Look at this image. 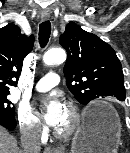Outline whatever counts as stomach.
Here are the masks:
<instances>
[{
	"label": "stomach",
	"instance_id": "obj_1",
	"mask_svg": "<svg viewBox=\"0 0 130 153\" xmlns=\"http://www.w3.org/2000/svg\"><path fill=\"white\" fill-rule=\"evenodd\" d=\"M91 106L74 135L71 153H117L121 136L117 112L102 101L94 102ZM92 111L98 114L89 118Z\"/></svg>",
	"mask_w": 130,
	"mask_h": 153
}]
</instances>
